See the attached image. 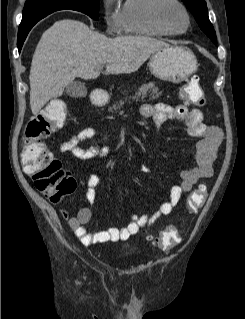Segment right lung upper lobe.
Masks as SVG:
<instances>
[{
	"mask_svg": "<svg viewBox=\"0 0 245 319\" xmlns=\"http://www.w3.org/2000/svg\"><path fill=\"white\" fill-rule=\"evenodd\" d=\"M52 12H54V11L53 10L52 11H42V12L37 11L36 14L32 16V19L28 23L27 27L32 25V24H35L37 21H39L40 19L44 18L45 16H47L48 14H50ZM21 29H23V28H21Z\"/></svg>",
	"mask_w": 245,
	"mask_h": 319,
	"instance_id": "obj_1",
	"label": "right lung upper lobe"
}]
</instances>
